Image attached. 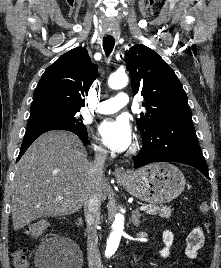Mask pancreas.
Returning <instances> with one entry per match:
<instances>
[{"instance_id":"cf45deb5","label":"pancreas","mask_w":221,"mask_h":268,"mask_svg":"<svg viewBox=\"0 0 221 268\" xmlns=\"http://www.w3.org/2000/svg\"><path fill=\"white\" fill-rule=\"evenodd\" d=\"M172 210L173 209H171V207L167 206L159 207L157 205H150L147 213L151 215H159L163 218H169L171 216Z\"/></svg>"}]
</instances>
